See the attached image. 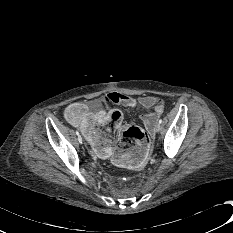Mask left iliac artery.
<instances>
[{
	"instance_id": "1",
	"label": "left iliac artery",
	"mask_w": 233,
	"mask_h": 233,
	"mask_svg": "<svg viewBox=\"0 0 233 233\" xmlns=\"http://www.w3.org/2000/svg\"><path fill=\"white\" fill-rule=\"evenodd\" d=\"M159 123H160V124H161V123H163V120H162V119H160V120H159Z\"/></svg>"
}]
</instances>
